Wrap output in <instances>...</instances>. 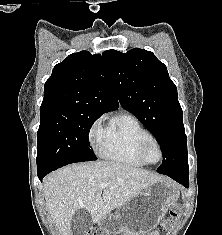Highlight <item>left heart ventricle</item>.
<instances>
[{
    "label": "left heart ventricle",
    "instance_id": "left-heart-ventricle-1",
    "mask_svg": "<svg viewBox=\"0 0 222 235\" xmlns=\"http://www.w3.org/2000/svg\"><path fill=\"white\" fill-rule=\"evenodd\" d=\"M148 161L155 162L159 159V150L155 145H150L146 151Z\"/></svg>",
    "mask_w": 222,
    "mask_h": 235
}]
</instances>
